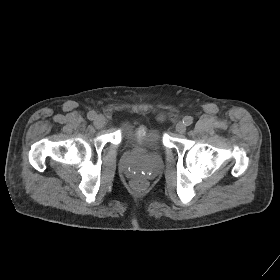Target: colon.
<instances>
[{
    "label": "colon",
    "mask_w": 280,
    "mask_h": 280,
    "mask_svg": "<svg viewBox=\"0 0 280 280\" xmlns=\"http://www.w3.org/2000/svg\"><path fill=\"white\" fill-rule=\"evenodd\" d=\"M134 186L137 189H143L146 186V182L144 180L138 179L134 182Z\"/></svg>",
    "instance_id": "obj_1"
}]
</instances>
